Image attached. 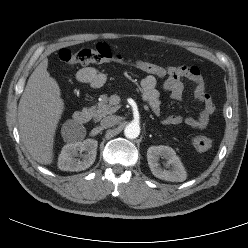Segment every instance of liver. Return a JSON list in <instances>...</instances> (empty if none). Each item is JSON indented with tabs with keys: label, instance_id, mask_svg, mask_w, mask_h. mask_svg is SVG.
Segmentation results:
<instances>
[{
	"label": "liver",
	"instance_id": "liver-1",
	"mask_svg": "<svg viewBox=\"0 0 248 248\" xmlns=\"http://www.w3.org/2000/svg\"><path fill=\"white\" fill-rule=\"evenodd\" d=\"M47 68L44 58L30 75L18 106L22 141L32 158L44 165L52 163L55 131L64 110L59 85Z\"/></svg>",
	"mask_w": 248,
	"mask_h": 248
}]
</instances>
